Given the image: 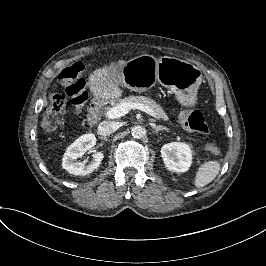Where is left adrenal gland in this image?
<instances>
[{
  "mask_svg": "<svg viewBox=\"0 0 266 266\" xmlns=\"http://www.w3.org/2000/svg\"><path fill=\"white\" fill-rule=\"evenodd\" d=\"M152 129L154 130V132H155L156 134H158L160 131H166V132H168V129L165 128V127H163V126H156V125H153V126H152Z\"/></svg>",
  "mask_w": 266,
  "mask_h": 266,
  "instance_id": "left-adrenal-gland-1",
  "label": "left adrenal gland"
}]
</instances>
